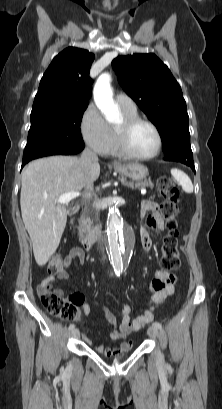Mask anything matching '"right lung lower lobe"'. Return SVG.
<instances>
[{
  "label": "right lung lower lobe",
  "instance_id": "right-lung-lower-lobe-1",
  "mask_svg": "<svg viewBox=\"0 0 222 409\" xmlns=\"http://www.w3.org/2000/svg\"><path fill=\"white\" fill-rule=\"evenodd\" d=\"M84 148V146L83 147H81V148H79L78 150H77V152L76 153H78V152H80L82 149ZM75 153V154H76ZM29 161H31V160H28V161H22V167L26 164V163H28Z\"/></svg>",
  "mask_w": 222,
  "mask_h": 409
}]
</instances>
